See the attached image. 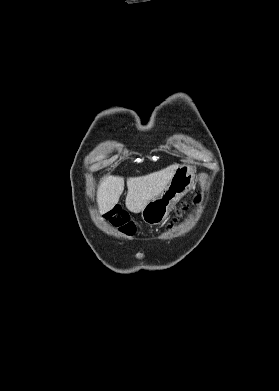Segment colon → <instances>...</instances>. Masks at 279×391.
<instances>
[{
    "label": "colon",
    "mask_w": 279,
    "mask_h": 391,
    "mask_svg": "<svg viewBox=\"0 0 279 391\" xmlns=\"http://www.w3.org/2000/svg\"><path fill=\"white\" fill-rule=\"evenodd\" d=\"M198 201V198L195 200ZM186 209V208H184ZM106 219L122 233L132 235L135 232L134 224L130 221L128 214L120 209H113L105 215ZM176 221V220H174Z\"/></svg>",
    "instance_id": "1"
}]
</instances>
